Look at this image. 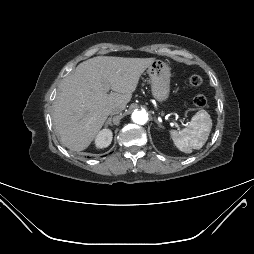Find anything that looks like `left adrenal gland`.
Instances as JSON below:
<instances>
[{"mask_svg":"<svg viewBox=\"0 0 254 254\" xmlns=\"http://www.w3.org/2000/svg\"><path fill=\"white\" fill-rule=\"evenodd\" d=\"M155 122L158 124L160 128H162V125L159 123V121L155 118Z\"/></svg>","mask_w":254,"mask_h":254,"instance_id":"obj_1","label":"left adrenal gland"}]
</instances>
